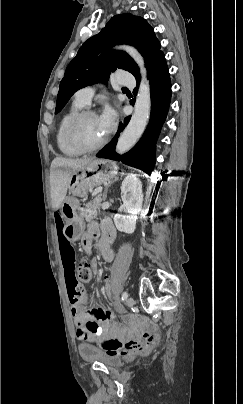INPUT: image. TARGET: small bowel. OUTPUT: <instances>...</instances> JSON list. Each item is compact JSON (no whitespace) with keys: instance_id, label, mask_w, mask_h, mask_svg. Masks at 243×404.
<instances>
[{"instance_id":"c3829d8e","label":"small bowel","mask_w":243,"mask_h":404,"mask_svg":"<svg viewBox=\"0 0 243 404\" xmlns=\"http://www.w3.org/2000/svg\"><path fill=\"white\" fill-rule=\"evenodd\" d=\"M55 226L64 270L65 283L71 301V314L77 328V337L82 341L92 343L98 342L102 337L116 333L113 315L108 310L102 308L86 309L78 303L72 301V293L76 291L81 292V288L75 276V252L71 243L64 234V222L59 214L55 216ZM93 234H98L97 227L95 225H91L89 227L88 234L84 235L82 239L83 247L87 252L92 250ZM114 239L115 229L111 222L105 221L102 225L101 239L98 243V249L107 262H110L113 259L111 245Z\"/></svg>"}]
</instances>
